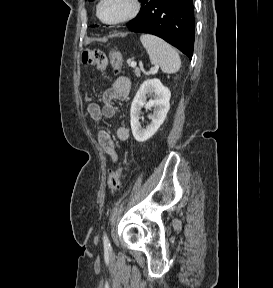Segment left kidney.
Listing matches in <instances>:
<instances>
[{
  "instance_id": "5707ae66",
  "label": "left kidney",
  "mask_w": 273,
  "mask_h": 288,
  "mask_svg": "<svg viewBox=\"0 0 273 288\" xmlns=\"http://www.w3.org/2000/svg\"><path fill=\"white\" fill-rule=\"evenodd\" d=\"M151 94L154 95V99L147 101V95ZM170 97V90L159 79H148L142 83L130 110L131 129L136 141L145 142L158 131L170 109ZM142 107H154V113L149 116L151 123L146 128H142L139 122Z\"/></svg>"
}]
</instances>
